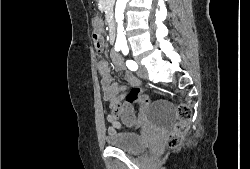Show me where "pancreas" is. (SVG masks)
<instances>
[{
  "mask_svg": "<svg viewBox=\"0 0 250 169\" xmlns=\"http://www.w3.org/2000/svg\"><path fill=\"white\" fill-rule=\"evenodd\" d=\"M106 6H108L107 0H104L102 10H106Z\"/></svg>",
  "mask_w": 250,
  "mask_h": 169,
  "instance_id": "cf45deb5",
  "label": "pancreas"
}]
</instances>
